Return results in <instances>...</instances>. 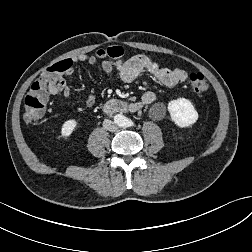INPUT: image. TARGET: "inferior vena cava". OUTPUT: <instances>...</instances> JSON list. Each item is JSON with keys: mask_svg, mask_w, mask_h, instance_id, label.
Here are the masks:
<instances>
[{"mask_svg": "<svg viewBox=\"0 0 252 252\" xmlns=\"http://www.w3.org/2000/svg\"><path fill=\"white\" fill-rule=\"evenodd\" d=\"M103 127L111 132H114L116 131L118 128H117V125L111 121V120H108V119H105L103 121Z\"/></svg>", "mask_w": 252, "mask_h": 252, "instance_id": "1", "label": "inferior vena cava"}]
</instances>
